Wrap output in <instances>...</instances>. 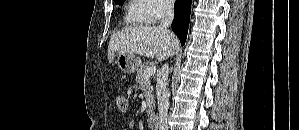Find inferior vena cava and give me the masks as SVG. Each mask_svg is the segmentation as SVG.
Returning <instances> with one entry per match:
<instances>
[{
    "instance_id": "inferior-vena-cava-1",
    "label": "inferior vena cava",
    "mask_w": 299,
    "mask_h": 130,
    "mask_svg": "<svg viewBox=\"0 0 299 130\" xmlns=\"http://www.w3.org/2000/svg\"><path fill=\"white\" fill-rule=\"evenodd\" d=\"M174 18V3L172 1L168 2L165 5V18L162 21L160 27L167 29L171 26V23ZM169 66L164 64L161 71L157 75V84H156V95L158 100V112H159V130H168V100L169 93L167 90L166 81L168 79Z\"/></svg>"
}]
</instances>
